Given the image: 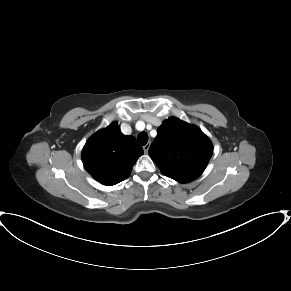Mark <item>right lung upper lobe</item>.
<instances>
[{
	"label": "right lung upper lobe",
	"instance_id": "right-lung-upper-lobe-1",
	"mask_svg": "<svg viewBox=\"0 0 291 291\" xmlns=\"http://www.w3.org/2000/svg\"><path fill=\"white\" fill-rule=\"evenodd\" d=\"M135 137L124 135L116 122L96 132L82 150L85 169L103 185L112 186L125 180L143 154Z\"/></svg>",
	"mask_w": 291,
	"mask_h": 291
}]
</instances>
